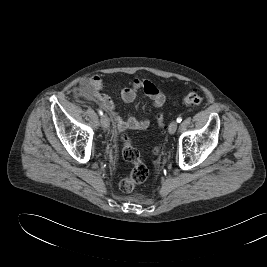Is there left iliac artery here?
<instances>
[{
    "label": "left iliac artery",
    "instance_id": "obj_1",
    "mask_svg": "<svg viewBox=\"0 0 267 267\" xmlns=\"http://www.w3.org/2000/svg\"><path fill=\"white\" fill-rule=\"evenodd\" d=\"M176 121L180 123L182 121V117H178Z\"/></svg>",
    "mask_w": 267,
    "mask_h": 267
}]
</instances>
